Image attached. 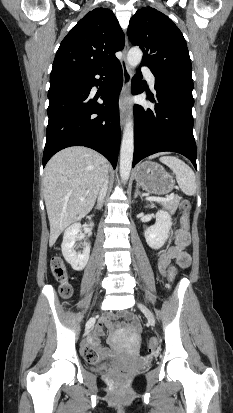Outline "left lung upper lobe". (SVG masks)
I'll list each match as a JSON object with an SVG mask.
<instances>
[{"label":"left lung upper lobe","mask_w":233,"mask_h":413,"mask_svg":"<svg viewBox=\"0 0 233 413\" xmlns=\"http://www.w3.org/2000/svg\"><path fill=\"white\" fill-rule=\"evenodd\" d=\"M128 38L143 51L142 64L162 79L193 89L192 65L183 34L163 13L139 9L130 19Z\"/></svg>","instance_id":"1"}]
</instances>
